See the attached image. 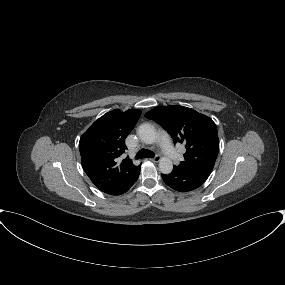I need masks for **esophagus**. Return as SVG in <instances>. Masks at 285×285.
Masks as SVG:
<instances>
[{"label":"esophagus","instance_id":"esophagus-1","mask_svg":"<svg viewBox=\"0 0 285 285\" xmlns=\"http://www.w3.org/2000/svg\"><path fill=\"white\" fill-rule=\"evenodd\" d=\"M152 162H158L159 161V158L158 157H153L150 159Z\"/></svg>","mask_w":285,"mask_h":285}]
</instances>
